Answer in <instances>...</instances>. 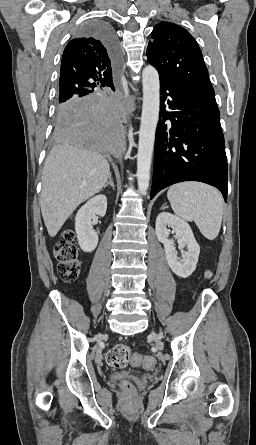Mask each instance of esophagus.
I'll return each mask as SVG.
<instances>
[{
	"label": "esophagus",
	"mask_w": 256,
	"mask_h": 445,
	"mask_svg": "<svg viewBox=\"0 0 256 445\" xmlns=\"http://www.w3.org/2000/svg\"><path fill=\"white\" fill-rule=\"evenodd\" d=\"M131 104H132V105L134 104V101H133V99H131Z\"/></svg>",
	"instance_id": "esophagus-1"
}]
</instances>
